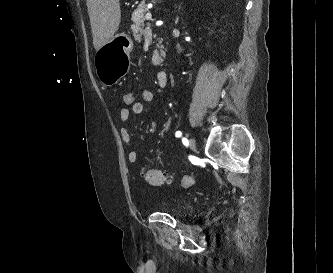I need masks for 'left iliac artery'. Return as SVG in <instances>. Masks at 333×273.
I'll return each instance as SVG.
<instances>
[{
	"instance_id": "obj_1",
	"label": "left iliac artery",
	"mask_w": 333,
	"mask_h": 273,
	"mask_svg": "<svg viewBox=\"0 0 333 273\" xmlns=\"http://www.w3.org/2000/svg\"><path fill=\"white\" fill-rule=\"evenodd\" d=\"M175 136H176V137H181V136H182L181 131H177V132L175 133ZM182 141H183L184 144H188V140H187L186 138H183Z\"/></svg>"
}]
</instances>
